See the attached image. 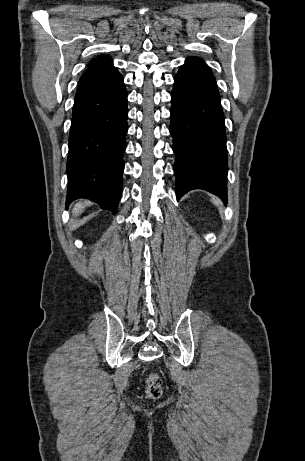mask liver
<instances>
[{
	"label": "liver",
	"instance_id": "1",
	"mask_svg": "<svg viewBox=\"0 0 305 461\" xmlns=\"http://www.w3.org/2000/svg\"><path fill=\"white\" fill-rule=\"evenodd\" d=\"M84 208V204L79 202L77 204H75L74 208L72 209V213L73 214H77L79 213L82 209Z\"/></svg>",
	"mask_w": 305,
	"mask_h": 461
}]
</instances>
